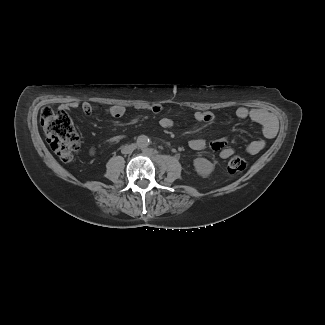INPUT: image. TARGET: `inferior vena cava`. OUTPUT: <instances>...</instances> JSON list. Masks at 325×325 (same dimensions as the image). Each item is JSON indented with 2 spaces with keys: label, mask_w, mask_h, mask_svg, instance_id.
Here are the masks:
<instances>
[{
  "label": "inferior vena cava",
  "mask_w": 325,
  "mask_h": 325,
  "mask_svg": "<svg viewBox=\"0 0 325 325\" xmlns=\"http://www.w3.org/2000/svg\"><path fill=\"white\" fill-rule=\"evenodd\" d=\"M136 148V145L135 144H130V145H126L122 150L121 152L123 154H131Z\"/></svg>",
  "instance_id": "602c4592"
}]
</instances>
